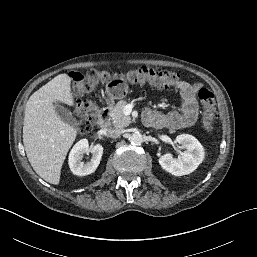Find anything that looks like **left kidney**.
Returning <instances> with one entry per match:
<instances>
[{
  "mask_svg": "<svg viewBox=\"0 0 257 257\" xmlns=\"http://www.w3.org/2000/svg\"><path fill=\"white\" fill-rule=\"evenodd\" d=\"M176 142L182 149H186L178 159L166 153L159 158L161 167L175 176H183L196 170L204 159V148L192 135L181 134L176 137Z\"/></svg>",
  "mask_w": 257,
  "mask_h": 257,
  "instance_id": "1",
  "label": "left kidney"
}]
</instances>
